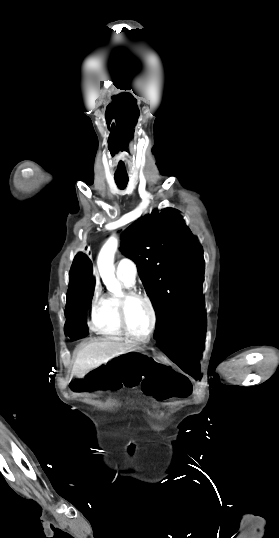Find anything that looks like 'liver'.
<instances>
[{
  "label": "liver",
  "mask_w": 279,
  "mask_h": 538,
  "mask_svg": "<svg viewBox=\"0 0 279 538\" xmlns=\"http://www.w3.org/2000/svg\"><path fill=\"white\" fill-rule=\"evenodd\" d=\"M132 346L126 342H118V340H109V338H100L97 342H91L80 350L72 368L71 376L76 378H84L90 370L98 368L101 364L109 362L111 358L127 354Z\"/></svg>",
  "instance_id": "liver-1"
}]
</instances>
